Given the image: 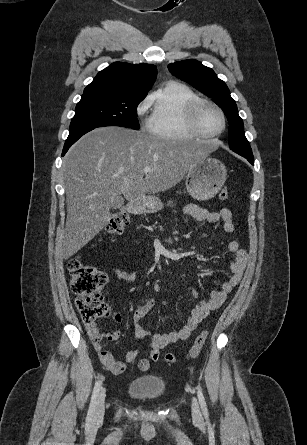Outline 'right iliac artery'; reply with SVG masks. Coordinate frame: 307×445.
Wrapping results in <instances>:
<instances>
[{
  "mask_svg": "<svg viewBox=\"0 0 307 445\" xmlns=\"http://www.w3.org/2000/svg\"><path fill=\"white\" fill-rule=\"evenodd\" d=\"M101 380H98L95 383L94 389H93V393H92V397H91V402H90V406H89V410H88V414H87V419L91 420L93 418L94 412H95V405H96V400H97V396L99 393V389L101 387Z\"/></svg>",
  "mask_w": 307,
  "mask_h": 445,
  "instance_id": "right-iliac-artery-1",
  "label": "right iliac artery"
}]
</instances>
